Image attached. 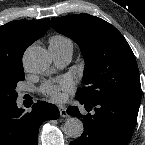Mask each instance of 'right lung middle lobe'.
<instances>
[{
	"instance_id": "dd1d6c3e",
	"label": "right lung middle lobe",
	"mask_w": 145,
	"mask_h": 145,
	"mask_svg": "<svg viewBox=\"0 0 145 145\" xmlns=\"http://www.w3.org/2000/svg\"><path fill=\"white\" fill-rule=\"evenodd\" d=\"M24 79V70L21 69L5 80L0 81V102L16 101L18 97L15 91L16 85Z\"/></svg>"
}]
</instances>
